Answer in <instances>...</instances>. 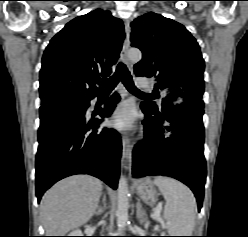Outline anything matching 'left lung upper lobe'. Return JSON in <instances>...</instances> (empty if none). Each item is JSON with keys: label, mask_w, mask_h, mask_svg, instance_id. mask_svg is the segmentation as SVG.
<instances>
[{"label": "left lung upper lobe", "mask_w": 248, "mask_h": 237, "mask_svg": "<svg viewBox=\"0 0 248 237\" xmlns=\"http://www.w3.org/2000/svg\"><path fill=\"white\" fill-rule=\"evenodd\" d=\"M131 45L143 58L134 66L136 76L154 77L156 89L167 93L161 113L154 103L143 102L162 119L179 106L204 107V60L191 33L180 23L149 12L132 23Z\"/></svg>", "instance_id": "left-lung-upper-lobe-1"}]
</instances>
